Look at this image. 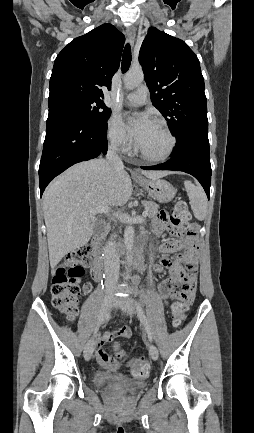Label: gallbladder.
<instances>
[{
  "instance_id": "1",
  "label": "gallbladder",
  "mask_w": 254,
  "mask_h": 433,
  "mask_svg": "<svg viewBox=\"0 0 254 433\" xmlns=\"http://www.w3.org/2000/svg\"><path fill=\"white\" fill-rule=\"evenodd\" d=\"M104 231H105V224L102 221H97L93 230L94 236L100 237L104 234Z\"/></svg>"
}]
</instances>
